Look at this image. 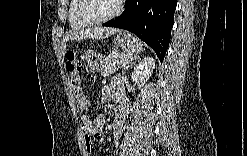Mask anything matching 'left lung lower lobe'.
I'll list each match as a JSON object with an SVG mask.
<instances>
[{"label": "left lung lower lobe", "mask_w": 247, "mask_h": 156, "mask_svg": "<svg viewBox=\"0 0 247 156\" xmlns=\"http://www.w3.org/2000/svg\"><path fill=\"white\" fill-rule=\"evenodd\" d=\"M176 0H126L124 12L103 26L136 34L156 52L162 62L169 46Z\"/></svg>", "instance_id": "0a47b994"}]
</instances>
